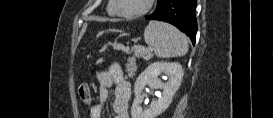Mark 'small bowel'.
<instances>
[{"label": "small bowel", "instance_id": "small-bowel-1", "mask_svg": "<svg viewBox=\"0 0 273 118\" xmlns=\"http://www.w3.org/2000/svg\"><path fill=\"white\" fill-rule=\"evenodd\" d=\"M97 79L99 84V103L91 105L90 118H102L103 107L109 98L110 89L112 88H114L113 118H129L131 86L121 69L117 65L112 64L107 70L97 71ZM82 101L89 105L92 103L90 91L89 99Z\"/></svg>", "mask_w": 273, "mask_h": 118}]
</instances>
